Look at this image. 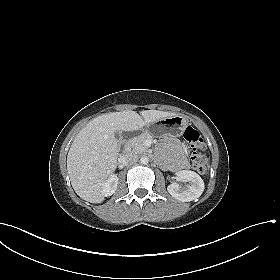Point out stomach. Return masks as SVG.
<instances>
[{
	"mask_svg": "<svg viewBox=\"0 0 280 280\" xmlns=\"http://www.w3.org/2000/svg\"><path fill=\"white\" fill-rule=\"evenodd\" d=\"M187 124L188 123L185 117L175 115L160 119L156 123L148 124L146 130H162L169 136L179 137L186 128Z\"/></svg>",
	"mask_w": 280,
	"mask_h": 280,
	"instance_id": "0dacf381",
	"label": "stomach"
}]
</instances>
